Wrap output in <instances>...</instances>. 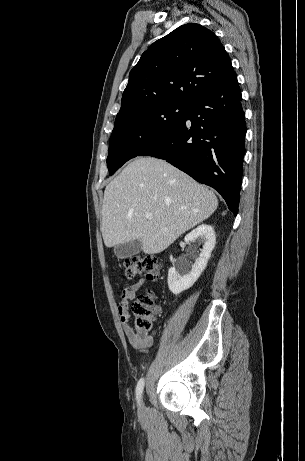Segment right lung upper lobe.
I'll use <instances>...</instances> for the list:
<instances>
[{
    "label": "right lung upper lobe",
    "instance_id": "obj_1",
    "mask_svg": "<svg viewBox=\"0 0 305 461\" xmlns=\"http://www.w3.org/2000/svg\"><path fill=\"white\" fill-rule=\"evenodd\" d=\"M235 72L218 37L189 23L157 40L130 71L118 121L164 103H190Z\"/></svg>",
    "mask_w": 305,
    "mask_h": 461
}]
</instances>
